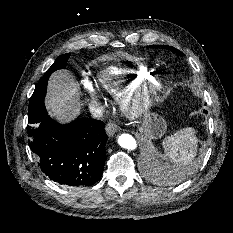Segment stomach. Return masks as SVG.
Masks as SVG:
<instances>
[{"mask_svg": "<svg viewBox=\"0 0 233 233\" xmlns=\"http://www.w3.org/2000/svg\"><path fill=\"white\" fill-rule=\"evenodd\" d=\"M166 129V121L155 113H148L140 126V132L150 139L161 137L164 135Z\"/></svg>", "mask_w": 233, "mask_h": 233, "instance_id": "obj_1", "label": "stomach"}]
</instances>
